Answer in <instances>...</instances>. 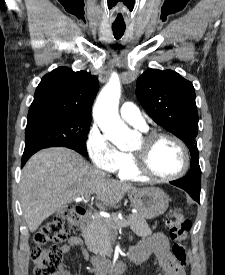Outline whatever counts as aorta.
Returning a JSON list of instances; mask_svg holds the SVG:
<instances>
[{
    "mask_svg": "<svg viewBox=\"0 0 225 275\" xmlns=\"http://www.w3.org/2000/svg\"><path fill=\"white\" fill-rule=\"evenodd\" d=\"M121 86L110 80L101 90L93 108V115L106 138L119 149L128 150L136 141L135 133L121 120L118 113Z\"/></svg>",
    "mask_w": 225,
    "mask_h": 275,
    "instance_id": "1",
    "label": "aorta"
}]
</instances>
